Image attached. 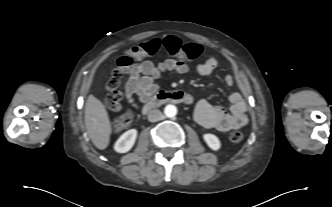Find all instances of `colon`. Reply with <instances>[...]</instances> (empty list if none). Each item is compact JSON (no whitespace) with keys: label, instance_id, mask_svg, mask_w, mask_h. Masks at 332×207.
<instances>
[{"label":"colon","instance_id":"obj_1","mask_svg":"<svg viewBox=\"0 0 332 207\" xmlns=\"http://www.w3.org/2000/svg\"><path fill=\"white\" fill-rule=\"evenodd\" d=\"M161 47L178 58L193 61L201 54V47L196 43H186L176 36H167L163 39L154 38L140 45L134 46L122 55L117 62V67L112 71L110 78L106 81L105 99L107 105L114 111H120L122 92L120 90L121 79L127 72L133 60L142 59L146 56L154 55ZM132 123V115L130 113L121 114L113 122V129L121 132L130 127ZM232 142L238 143L242 141L243 135L238 131H234L229 135Z\"/></svg>","mask_w":332,"mask_h":207}]
</instances>
